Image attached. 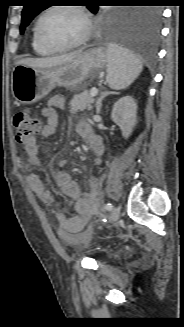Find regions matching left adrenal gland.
<instances>
[{
  "label": "left adrenal gland",
  "instance_id": "a2214340",
  "mask_svg": "<svg viewBox=\"0 0 184 327\" xmlns=\"http://www.w3.org/2000/svg\"><path fill=\"white\" fill-rule=\"evenodd\" d=\"M110 94H115V92H110V91H105V92H102L100 97L98 98L97 102H96V113L99 114L100 113V109H101V106H102V100L110 95Z\"/></svg>",
  "mask_w": 184,
  "mask_h": 327
}]
</instances>
